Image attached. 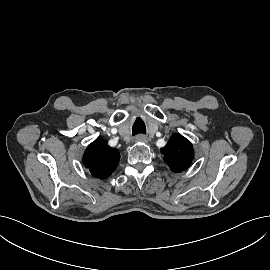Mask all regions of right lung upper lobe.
<instances>
[{"mask_svg":"<svg viewBox=\"0 0 270 270\" xmlns=\"http://www.w3.org/2000/svg\"><path fill=\"white\" fill-rule=\"evenodd\" d=\"M120 159L119 151L97 138L86 149L83 156L84 165L96 178H107L116 169Z\"/></svg>","mask_w":270,"mask_h":270,"instance_id":"obj_1","label":"right lung upper lobe"}]
</instances>
